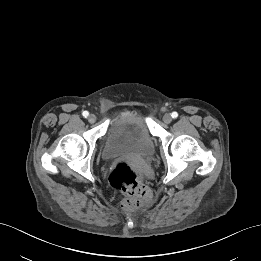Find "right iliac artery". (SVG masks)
Returning a JSON list of instances; mask_svg holds the SVG:
<instances>
[{"instance_id":"1","label":"right iliac artery","mask_w":261,"mask_h":261,"mask_svg":"<svg viewBox=\"0 0 261 261\" xmlns=\"http://www.w3.org/2000/svg\"><path fill=\"white\" fill-rule=\"evenodd\" d=\"M82 115L87 118L89 116V112L88 111H83Z\"/></svg>"}]
</instances>
